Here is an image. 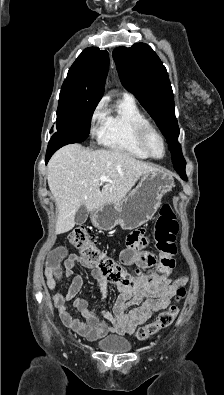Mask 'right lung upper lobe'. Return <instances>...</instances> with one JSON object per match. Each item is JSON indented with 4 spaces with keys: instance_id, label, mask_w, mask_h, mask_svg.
Instances as JSON below:
<instances>
[{
    "instance_id": "right-lung-upper-lobe-1",
    "label": "right lung upper lobe",
    "mask_w": 224,
    "mask_h": 395,
    "mask_svg": "<svg viewBox=\"0 0 224 395\" xmlns=\"http://www.w3.org/2000/svg\"><path fill=\"white\" fill-rule=\"evenodd\" d=\"M108 67V52L89 47L70 67L62 88L102 97Z\"/></svg>"
}]
</instances>
